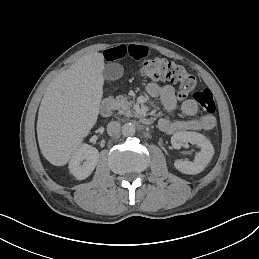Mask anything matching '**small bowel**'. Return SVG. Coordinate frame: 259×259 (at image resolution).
Returning <instances> with one entry per match:
<instances>
[{
	"instance_id": "obj_1",
	"label": "small bowel",
	"mask_w": 259,
	"mask_h": 259,
	"mask_svg": "<svg viewBox=\"0 0 259 259\" xmlns=\"http://www.w3.org/2000/svg\"><path fill=\"white\" fill-rule=\"evenodd\" d=\"M148 52V47L144 45L120 44L106 49L103 52V56L109 62L118 61L124 57L139 60L146 57ZM147 92L152 97L159 98L167 111H173L178 105L179 98L172 85H160L153 82L147 86ZM180 108L184 115L191 118L174 121L168 118H161L158 121V127L163 133L176 134L183 131L211 130L215 127L216 119L214 116L210 114L197 116L198 105L194 99H181Z\"/></svg>"
}]
</instances>
